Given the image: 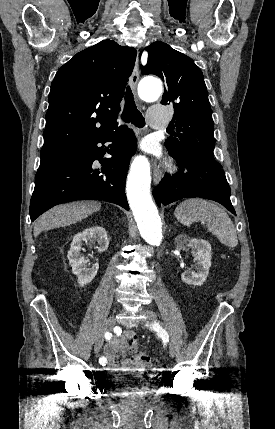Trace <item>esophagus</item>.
Instances as JSON below:
<instances>
[{
	"instance_id": "obj_1",
	"label": "esophagus",
	"mask_w": 275,
	"mask_h": 429,
	"mask_svg": "<svg viewBox=\"0 0 275 429\" xmlns=\"http://www.w3.org/2000/svg\"><path fill=\"white\" fill-rule=\"evenodd\" d=\"M139 78H140V72H139L138 54H137L134 69H133L131 79H130V85H131L132 91L134 92L135 95H136V88H137V83L139 81ZM161 176H162V171H161L159 164L154 163V165H153V182L155 185H157L160 182Z\"/></svg>"
}]
</instances>
